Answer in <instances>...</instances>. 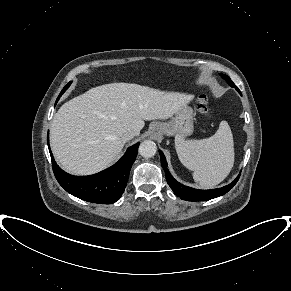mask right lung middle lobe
<instances>
[{"label":"right lung middle lobe","mask_w":291,"mask_h":291,"mask_svg":"<svg viewBox=\"0 0 291 291\" xmlns=\"http://www.w3.org/2000/svg\"><path fill=\"white\" fill-rule=\"evenodd\" d=\"M69 86H70V83L67 84V85L63 88V90L61 91V93H60L58 99L60 98V96L65 92V90H66ZM58 99H57V101H58ZM57 101H56V103H57Z\"/></svg>","instance_id":"obj_1"}]
</instances>
